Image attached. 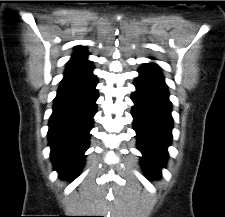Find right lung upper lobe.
I'll return each mask as SVG.
<instances>
[{
  "instance_id": "cb5924a9",
  "label": "right lung upper lobe",
  "mask_w": 225,
  "mask_h": 217,
  "mask_svg": "<svg viewBox=\"0 0 225 217\" xmlns=\"http://www.w3.org/2000/svg\"><path fill=\"white\" fill-rule=\"evenodd\" d=\"M88 52L84 47H77V51L67 63L64 78L61 83L86 80L95 77L92 74L93 64L87 59Z\"/></svg>"
}]
</instances>
